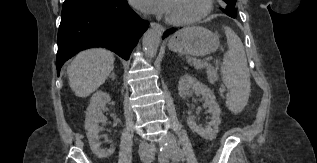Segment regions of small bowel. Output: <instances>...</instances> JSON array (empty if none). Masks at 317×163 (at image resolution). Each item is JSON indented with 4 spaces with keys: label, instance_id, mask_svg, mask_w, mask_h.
I'll return each instance as SVG.
<instances>
[{
    "label": "small bowel",
    "instance_id": "1",
    "mask_svg": "<svg viewBox=\"0 0 317 163\" xmlns=\"http://www.w3.org/2000/svg\"><path fill=\"white\" fill-rule=\"evenodd\" d=\"M177 157H178V156H177ZM176 161H178V160H176ZM163 163H168V161H167V160H164Z\"/></svg>",
    "mask_w": 317,
    "mask_h": 163
}]
</instances>
